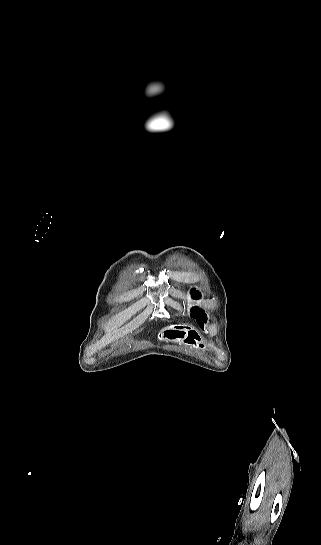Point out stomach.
I'll list each match as a JSON object with an SVG mask.
<instances>
[{
    "label": "stomach",
    "instance_id": "0dacf381",
    "mask_svg": "<svg viewBox=\"0 0 321 545\" xmlns=\"http://www.w3.org/2000/svg\"><path fill=\"white\" fill-rule=\"evenodd\" d=\"M157 341H173L191 349H203L202 337L192 325H169L158 333Z\"/></svg>",
    "mask_w": 321,
    "mask_h": 545
}]
</instances>
